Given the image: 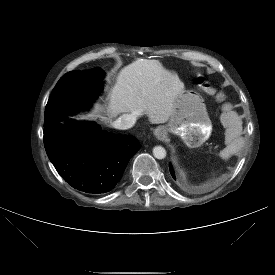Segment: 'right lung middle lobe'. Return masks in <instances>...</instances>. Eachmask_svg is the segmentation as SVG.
<instances>
[{
  "instance_id": "right-lung-middle-lobe-1",
  "label": "right lung middle lobe",
  "mask_w": 275,
  "mask_h": 275,
  "mask_svg": "<svg viewBox=\"0 0 275 275\" xmlns=\"http://www.w3.org/2000/svg\"><path fill=\"white\" fill-rule=\"evenodd\" d=\"M96 70L71 71L61 77L46 105L45 123L66 119L74 109L85 107L97 97L101 72Z\"/></svg>"
}]
</instances>
